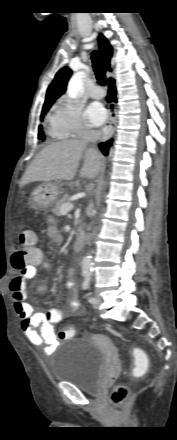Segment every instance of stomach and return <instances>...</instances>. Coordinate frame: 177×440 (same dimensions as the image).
Segmentation results:
<instances>
[{
    "instance_id": "obj_1",
    "label": "stomach",
    "mask_w": 177,
    "mask_h": 440,
    "mask_svg": "<svg viewBox=\"0 0 177 440\" xmlns=\"http://www.w3.org/2000/svg\"><path fill=\"white\" fill-rule=\"evenodd\" d=\"M60 193L57 182H47L35 188L29 198L28 205L34 210H50L55 205Z\"/></svg>"
}]
</instances>
